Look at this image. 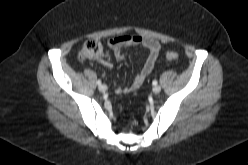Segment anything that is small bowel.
Returning <instances> with one entry per match:
<instances>
[{"mask_svg": "<svg viewBox=\"0 0 248 165\" xmlns=\"http://www.w3.org/2000/svg\"><path fill=\"white\" fill-rule=\"evenodd\" d=\"M107 45L114 52V56L118 61L125 59L126 49L128 47H142L148 52L146 60L138 74L129 85L119 87L117 89L118 94H126L139 88L144 83L145 79L152 72L161 50V45L157 41L139 35H120L109 40Z\"/></svg>", "mask_w": 248, "mask_h": 165, "instance_id": "1", "label": "small bowel"}]
</instances>
